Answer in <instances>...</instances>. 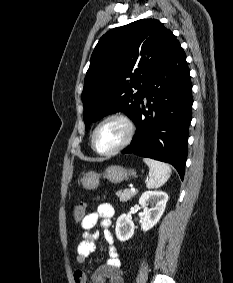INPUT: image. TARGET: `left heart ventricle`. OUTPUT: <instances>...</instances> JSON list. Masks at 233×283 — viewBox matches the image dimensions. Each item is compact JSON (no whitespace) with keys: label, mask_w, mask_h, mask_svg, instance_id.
<instances>
[{"label":"left heart ventricle","mask_w":233,"mask_h":283,"mask_svg":"<svg viewBox=\"0 0 233 283\" xmlns=\"http://www.w3.org/2000/svg\"><path fill=\"white\" fill-rule=\"evenodd\" d=\"M126 134L125 125L118 120L103 124L97 131L95 145L99 151L107 152L117 147Z\"/></svg>","instance_id":"left-heart-ventricle-1"}]
</instances>
